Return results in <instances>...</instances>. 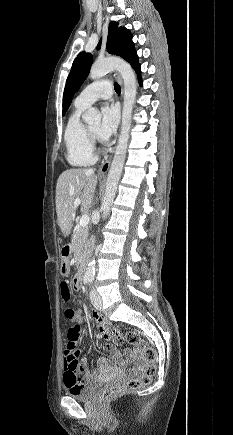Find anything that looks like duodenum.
Listing matches in <instances>:
<instances>
[{"mask_svg": "<svg viewBox=\"0 0 233 435\" xmlns=\"http://www.w3.org/2000/svg\"><path fill=\"white\" fill-rule=\"evenodd\" d=\"M71 251H72L71 246H65L62 249L61 258L64 262L68 260L70 254H71ZM84 273H85V267L80 268L78 271V275H77L79 280H81L83 278Z\"/></svg>", "mask_w": 233, "mask_h": 435, "instance_id": "duodenum-1", "label": "duodenum"}]
</instances>
